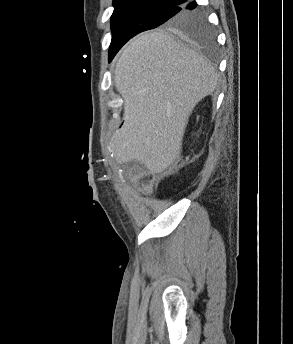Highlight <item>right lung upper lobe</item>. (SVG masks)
Returning <instances> with one entry per match:
<instances>
[{
	"mask_svg": "<svg viewBox=\"0 0 293 344\" xmlns=\"http://www.w3.org/2000/svg\"><path fill=\"white\" fill-rule=\"evenodd\" d=\"M186 0H114L113 4H124L128 2H159V3H168V4H174V5H181ZM167 28H170L167 24L164 25ZM171 29V28H170Z\"/></svg>",
	"mask_w": 293,
	"mask_h": 344,
	"instance_id": "obj_1",
	"label": "right lung upper lobe"
}]
</instances>
